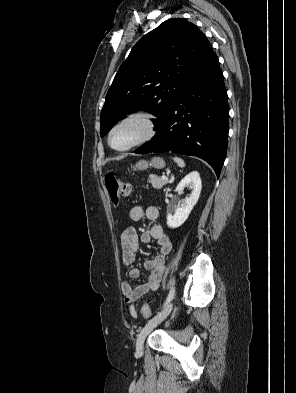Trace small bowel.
I'll return each instance as SVG.
<instances>
[{"label": "small bowel", "mask_w": 296, "mask_h": 393, "mask_svg": "<svg viewBox=\"0 0 296 393\" xmlns=\"http://www.w3.org/2000/svg\"><path fill=\"white\" fill-rule=\"evenodd\" d=\"M158 209L153 206L144 208L141 205L134 206L129 211V218L132 221H140L144 217L148 220H156L158 218ZM155 241L158 246L157 254L150 259L145 260L144 267L150 271L146 281L138 286H133L129 282L122 283V291L125 301L128 304V310L133 317H137L136 301L143 295L155 291L161 284V279L165 269L166 256L172 249V243L169 237L164 233L163 229L158 226H152L138 235L136 228H126L120 238L122 261L125 265L132 266L129 271L131 278H138L140 268L133 266L135 263V253L139 248V242L150 243Z\"/></svg>", "instance_id": "small-bowel-1"}]
</instances>
